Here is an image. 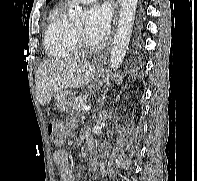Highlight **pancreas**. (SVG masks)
<instances>
[{"mask_svg":"<svg viewBox=\"0 0 197 181\" xmlns=\"http://www.w3.org/2000/svg\"><path fill=\"white\" fill-rule=\"evenodd\" d=\"M72 104H73L74 110L76 111L82 110L83 106L87 104V96L80 95V96L74 97Z\"/></svg>","mask_w":197,"mask_h":181,"instance_id":"cf45deb5","label":"pancreas"}]
</instances>
